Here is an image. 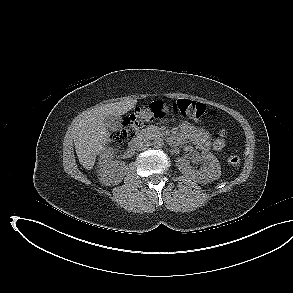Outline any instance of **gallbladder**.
I'll return each instance as SVG.
<instances>
[{
  "instance_id": "bac80fb5",
  "label": "gallbladder",
  "mask_w": 293,
  "mask_h": 293,
  "mask_svg": "<svg viewBox=\"0 0 293 293\" xmlns=\"http://www.w3.org/2000/svg\"><path fill=\"white\" fill-rule=\"evenodd\" d=\"M122 121L121 116L110 115L105 118L104 124L109 130L116 131L122 128Z\"/></svg>"
}]
</instances>
